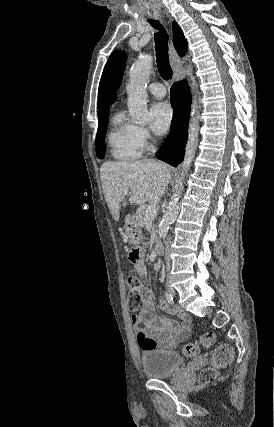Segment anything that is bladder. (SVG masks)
Listing matches in <instances>:
<instances>
[{
	"instance_id": "obj_1",
	"label": "bladder",
	"mask_w": 274,
	"mask_h": 427,
	"mask_svg": "<svg viewBox=\"0 0 274 427\" xmlns=\"http://www.w3.org/2000/svg\"><path fill=\"white\" fill-rule=\"evenodd\" d=\"M143 372L151 379H167L182 368L178 352L166 349H146L140 355Z\"/></svg>"
}]
</instances>
